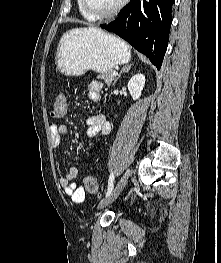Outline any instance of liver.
Masks as SVG:
<instances>
[{"mask_svg":"<svg viewBox=\"0 0 221 263\" xmlns=\"http://www.w3.org/2000/svg\"><path fill=\"white\" fill-rule=\"evenodd\" d=\"M86 29H88L89 31H97V30H99L98 28H94V27H89V28H86Z\"/></svg>","mask_w":221,"mask_h":263,"instance_id":"obj_1","label":"liver"}]
</instances>
